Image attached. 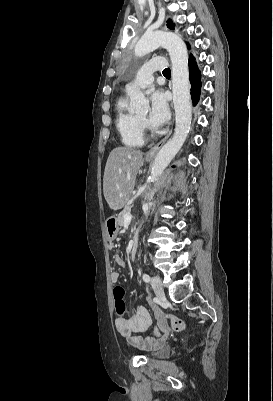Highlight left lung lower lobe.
Instances as JSON below:
<instances>
[{
    "instance_id": "left-lung-lower-lobe-1",
    "label": "left lung lower lobe",
    "mask_w": 273,
    "mask_h": 401,
    "mask_svg": "<svg viewBox=\"0 0 273 401\" xmlns=\"http://www.w3.org/2000/svg\"><path fill=\"white\" fill-rule=\"evenodd\" d=\"M189 72H190V81H191V95L192 101L194 104L197 103L200 95V71L198 70L195 59L193 56L189 58Z\"/></svg>"
}]
</instances>
